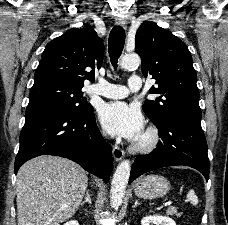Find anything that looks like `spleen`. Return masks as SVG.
Listing matches in <instances>:
<instances>
[{
	"label": "spleen",
	"instance_id": "spleen-1",
	"mask_svg": "<svg viewBox=\"0 0 228 225\" xmlns=\"http://www.w3.org/2000/svg\"><path fill=\"white\" fill-rule=\"evenodd\" d=\"M187 201H190L191 205H198V197L195 195L194 191H189L187 195Z\"/></svg>",
	"mask_w": 228,
	"mask_h": 225
}]
</instances>
